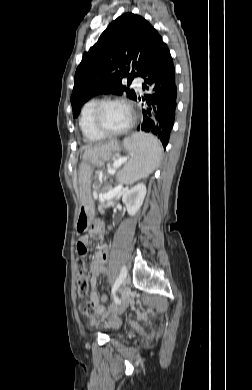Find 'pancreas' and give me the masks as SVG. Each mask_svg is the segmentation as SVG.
Listing matches in <instances>:
<instances>
[{"mask_svg":"<svg viewBox=\"0 0 252 390\" xmlns=\"http://www.w3.org/2000/svg\"><path fill=\"white\" fill-rule=\"evenodd\" d=\"M99 203H100L99 204V216L100 217H104L105 216L104 209H107L106 206H105L106 202H99Z\"/></svg>","mask_w":252,"mask_h":390,"instance_id":"obj_1","label":"pancreas"}]
</instances>
